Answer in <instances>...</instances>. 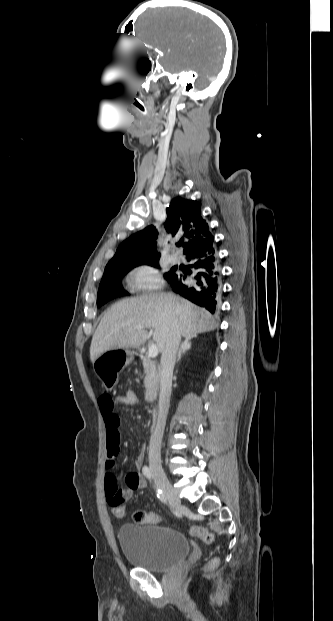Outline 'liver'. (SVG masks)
<instances>
[{
  "instance_id": "1",
  "label": "liver",
  "mask_w": 333,
  "mask_h": 621,
  "mask_svg": "<svg viewBox=\"0 0 333 621\" xmlns=\"http://www.w3.org/2000/svg\"><path fill=\"white\" fill-rule=\"evenodd\" d=\"M176 326L186 337L213 331L218 323L204 308L170 293H154L123 299L104 314L91 341L92 363L103 353L139 348L147 340L146 327L154 329L153 340L163 352L170 330ZM142 327L141 331L138 328Z\"/></svg>"
}]
</instances>
